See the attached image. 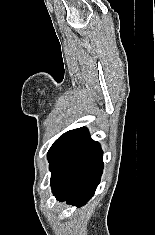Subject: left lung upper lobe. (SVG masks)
<instances>
[{"mask_svg": "<svg viewBox=\"0 0 155 235\" xmlns=\"http://www.w3.org/2000/svg\"><path fill=\"white\" fill-rule=\"evenodd\" d=\"M74 130H70L64 133L61 137H59L51 146L48 151V156L73 132Z\"/></svg>", "mask_w": 155, "mask_h": 235, "instance_id": "5c2ea615", "label": "left lung upper lobe"}]
</instances>
